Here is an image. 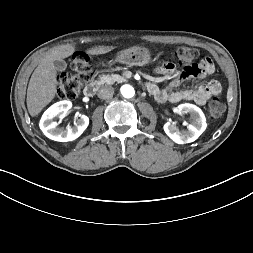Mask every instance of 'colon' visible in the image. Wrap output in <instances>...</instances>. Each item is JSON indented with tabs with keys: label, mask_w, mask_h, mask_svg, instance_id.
I'll return each instance as SVG.
<instances>
[{
	"label": "colon",
	"mask_w": 253,
	"mask_h": 253,
	"mask_svg": "<svg viewBox=\"0 0 253 253\" xmlns=\"http://www.w3.org/2000/svg\"><path fill=\"white\" fill-rule=\"evenodd\" d=\"M174 61L178 65L193 62L198 58V51L195 48L180 47L173 53ZM95 71L97 75L104 77L108 75L110 68L108 64L101 62L97 64ZM93 77V68L87 55L75 54L69 63V72L60 76L58 80L57 98L60 100L75 99L81 88ZM209 116L216 120L220 119L225 106L218 99H212L208 104Z\"/></svg>",
	"instance_id": "obj_1"
}]
</instances>
